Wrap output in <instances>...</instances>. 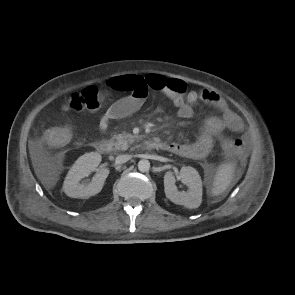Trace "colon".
Wrapping results in <instances>:
<instances>
[{"label": "colon", "mask_w": 295, "mask_h": 295, "mask_svg": "<svg viewBox=\"0 0 295 295\" xmlns=\"http://www.w3.org/2000/svg\"><path fill=\"white\" fill-rule=\"evenodd\" d=\"M112 90L90 87L79 94L73 95L65 104L69 111L96 110L101 103L108 99ZM70 138L69 131L63 127H56L45 132L46 141L53 146H63ZM221 147L227 157H240L244 154L243 142L238 138H224Z\"/></svg>", "instance_id": "5ec220e1"}]
</instances>
